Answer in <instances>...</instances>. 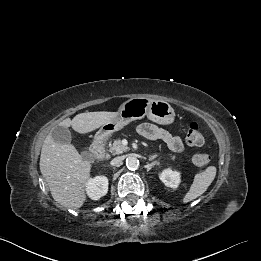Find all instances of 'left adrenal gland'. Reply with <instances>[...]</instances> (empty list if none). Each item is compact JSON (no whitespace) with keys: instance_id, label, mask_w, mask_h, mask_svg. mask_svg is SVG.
Wrapping results in <instances>:
<instances>
[{"instance_id":"1","label":"left adrenal gland","mask_w":261,"mask_h":261,"mask_svg":"<svg viewBox=\"0 0 261 261\" xmlns=\"http://www.w3.org/2000/svg\"><path fill=\"white\" fill-rule=\"evenodd\" d=\"M158 155L154 154L149 157V161H153Z\"/></svg>"}]
</instances>
